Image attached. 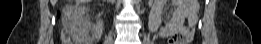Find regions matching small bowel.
<instances>
[{"mask_svg": "<svg viewBox=\"0 0 261 44\" xmlns=\"http://www.w3.org/2000/svg\"><path fill=\"white\" fill-rule=\"evenodd\" d=\"M163 6V1H156L151 9L150 26L152 29L164 38L172 39L178 35H183L185 43H189L197 23L198 3L187 0L174 1L172 6L175 9L168 14L165 25L161 26ZM186 20L188 21L187 25L185 24Z\"/></svg>", "mask_w": 261, "mask_h": 44, "instance_id": "c3829d8e", "label": "small bowel"}]
</instances>
